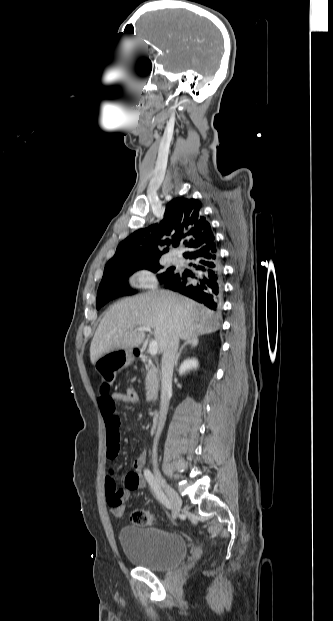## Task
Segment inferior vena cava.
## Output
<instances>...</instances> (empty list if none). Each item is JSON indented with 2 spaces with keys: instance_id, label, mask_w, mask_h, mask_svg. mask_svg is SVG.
I'll return each instance as SVG.
<instances>
[{
  "instance_id": "inferior-vena-cava-1",
  "label": "inferior vena cava",
  "mask_w": 333,
  "mask_h": 621,
  "mask_svg": "<svg viewBox=\"0 0 333 621\" xmlns=\"http://www.w3.org/2000/svg\"><path fill=\"white\" fill-rule=\"evenodd\" d=\"M179 346V335L174 332L167 344L166 349L163 352L162 364H161V401H160V416L158 422V428L153 443V461H157V445L161 432L165 425L166 416L169 407V393L172 389V375L176 352Z\"/></svg>"
}]
</instances>
